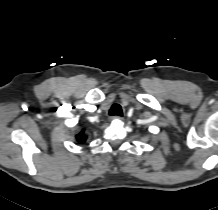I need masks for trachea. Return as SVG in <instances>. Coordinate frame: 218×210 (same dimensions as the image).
Returning a JSON list of instances; mask_svg holds the SVG:
<instances>
[{
  "instance_id": "3493384b",
  "label": "trachea",
  "mask_w": 218,
  "mask_h": 210,
  "mask_svg": "<svg viewBox=\"0 0 218 210\" xmlns=\"http://www.w3.org/2000/svg\"><path fill=\"white\" fill-rule=\"evenodd\" d=\"M110 116H122V109L119 104H113L109 110Z\"/></svg>"
}]
</instances>
